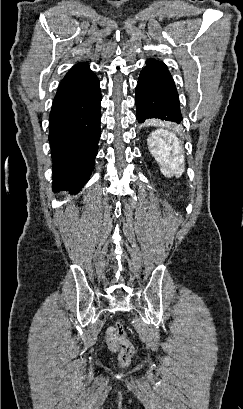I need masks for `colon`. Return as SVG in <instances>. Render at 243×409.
Segmentation results:
<instances>
[{
    "instance_id": "5ec220e1",
    "label": "colon",
    "mask_w": 243,
    "mask_h": 409,
    "mask_svg": "<svg viewBox=\"0 0 243 409\" xmlns=\"http://www.w3.org/2000/svg\"><path fill=\"white\" fill-rule=\"evenodd\" d=\"M115 337L120 349L119 363L122 366H127L135 353L133 344L127 339L124 325L121 322H117L114 327Z\"/></svg>"
}]
</instances>
